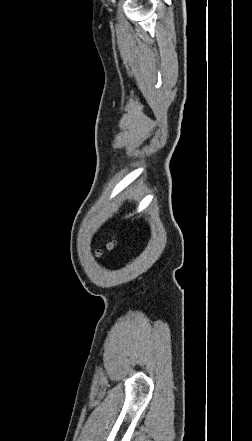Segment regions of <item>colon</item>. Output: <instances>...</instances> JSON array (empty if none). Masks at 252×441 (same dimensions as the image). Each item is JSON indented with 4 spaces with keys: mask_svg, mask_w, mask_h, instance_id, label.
<instances>
[{
    "mask_svg": "<svg viewBox=\"0 0 252 441\" xmlns=\"http://www.w3.org/2000/svg\"><path fill=\"white\" fill-rule=\"evenodd\" d=\"M116 246H117V242H116V241H114V242H110V243H108V244L106 245L105 250H112V249L115 248ZM103 251H104V250H99V251H98V254L101 255Z\"/></svg>",
    "mask_w": 252,
    "mask_h": 441,
    "instance_id": "obj_1",
    "label": "colon"
}]
</instances>
